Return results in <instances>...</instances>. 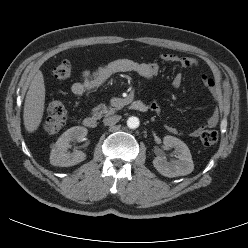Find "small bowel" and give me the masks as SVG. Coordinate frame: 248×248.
Masks as SVG:
<instances>
[{
  "label": "small bowel",
  "instance_id": "c3829d8e",
  "mask_svg": "<svg viewBox=\"0 0 248 248\" xmlns=\"http://www.w3.org/2000/svg\"><path fill=\"white\" fill-rule=\"evenodd\" d=\"M160 58L164 62L178 63L187 69L195 68L199 73L204 86L207 88V90H209L213 100L218 99L219 92L214 80L202 72L201 66L196 59L179 57L177 55L168 53L162 54ZM129 72L135 73L146 80H151L160 72V66L156 62H137L128 58L115 59L105 65L98 67L95 70H84L81 75V81H77L72 84L71 92L76 96H81L98 88L111 76L119 73ZM182 82L183 76L181 73H178L172 79V87L178 89ZM150 108L155 112L160 111V107L155 100L151 101ZM220 112L221 107L218 106L213 114L207 119L205 125L199 126L197 129L192 131L191 136L198 137L205 131L206 127H215L218 124ZM166 129L172 134L180 133L178 129L170 125H167Z\"/></svg>",
  "mask_w": 248,
  "mask_h": 248
}]
</instances>
